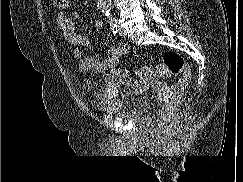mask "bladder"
<instances>
[{
  "label": "bladder",
  "mask_w": 243,
  "mask_h": 182,
  "mask_svg": "<svg viewBox=\"0 0 243 182\" xmlns=\"http://www.w3.org/2000/svg\"><path fill=\"white\" fill-rule=\"evenodd\" d=\"M146 106V98L143 95L131 94L127 97L106 98L93 102L96 111L104 114H141Z\"/></svg>",
  "instance_id": "1"
}]
</instances>
